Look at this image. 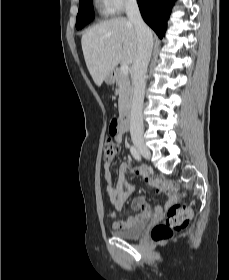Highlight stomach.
Listing matches in <instances>:
<instances>
[{
  "instance_id": "stomach-1",
  "label": "stomach",
  "mask_w": 229,
  "mask_h": 280,
  "mask_svg": "<svg viewBox=\"0 0 229 280\" xmlns=\"http://www.w3.org/2000/svg\"><path fill=\"white\" fill-rule=\"evenodd\" d=\"M104 81L107 85H112L116 81V76L113 74V72H111V73L106 75Z\"/></svg>"
}]
</instances>
